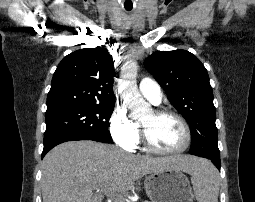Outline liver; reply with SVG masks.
<instances>
[{
    "instance_id": "liver-1",
    "label": "liver",
    "mask_w": 255,
    "mask_h": 202,
    "mask_svg": "<svg viewBox=\"0 0 255 202\" xmlns=\"http://www.w3.org/2000/svg\"><path fill=\"white\" fill-rule=\"evenodd\" d=\"M203 159L190 155L147 157L133 155L94 141H70L52 149L43 159V202H101L95 188L130 190L140 177L176 169L192 174Z\"/></svg>"
}]
</instances>
